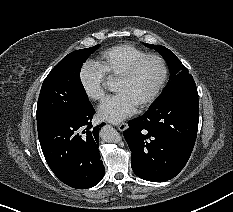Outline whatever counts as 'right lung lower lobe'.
Returning a JSON list of instances; mask_svg holds the SVG:
<instances>
[{"label":"right lung lower lobe","instance_id":"98d812e1","mask_svg":"<svg viewBox=\"0 0 233 212\" xmlns=\"http://www.w3.org/2000/svg\"><path fill=\"white\" fill-rule=\"evenodd\" d=\"M94 114L91 106L38 132L49 167L63 183L73 188L93 187L104 177L98 150L99 130L104 123L93 127Z\"/></svg>","mask_w":233,"mask_h":212}]
</instances>
